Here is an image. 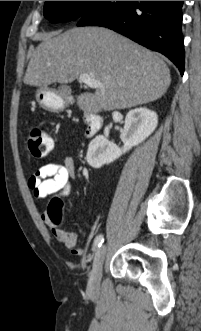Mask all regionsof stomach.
<instances>
[{
	"label": "stomach",
	"mask_w": 201,
	"mask_h": 331,
	"mask_svg": "<svg viewBox=\"0 0 201 331\" xmlns=\"http://www.w3.org/2000/svg\"><path fill=\"white\" fill-rule=\"evenodd\" d=\"M36 100L42 108L50 111L62 110L66 106L61 98L57 97L49 89L43 87L37 89Z\"/></svg>",
	"instance_id": "1"
}]
</instances>
